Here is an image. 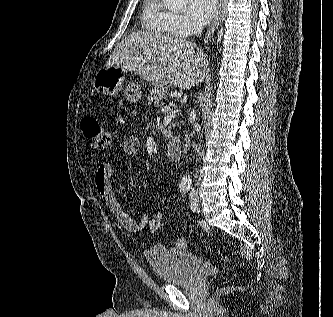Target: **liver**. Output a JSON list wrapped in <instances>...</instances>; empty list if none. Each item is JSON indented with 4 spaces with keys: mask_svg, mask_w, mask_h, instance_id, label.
<instances>
[{
    "mask_svg": "<svg viewBox=\"0 0 333 317\" xmlns=\"http://www.w3.org/2000/svg\"><path fill=\"white\" fill-rule=\"evenodd\" d=\"M133 71L150 84L190 89L208 77L209 62L181 37L135 31L122 39L106 64Z\"/></svg>",
    "mask_w": 333,
    "mask_h": 317,
    "instance_id": "obj_1",
    "label": "liver"
}]
</instances>
